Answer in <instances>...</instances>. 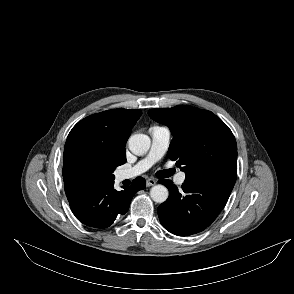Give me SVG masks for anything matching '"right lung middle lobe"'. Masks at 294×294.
I'll use <instances>...</instances> for the list:
<instances>
[{"instance_id": "right-lung-middle-lobe-1", "label": "right lung middle lobe", "mask_w": 294, "mask_h": 294, "mask_svg": "<svg viewBox=\"0 0 294 294\" xmlns=\"http://www.w3.org/2000/svg\"><path fill=\"white\" fill-rule=\"evenodd\" d=\"M116 167L109 157L79 154L68 161L63 175L75 185H96L114 180Z\"/></svg>"}]
</instances>
